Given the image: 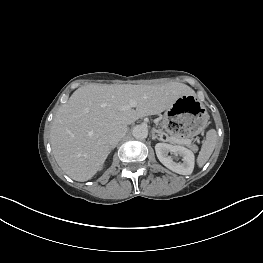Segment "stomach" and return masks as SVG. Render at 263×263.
<instances>
[{
    "mask_svg": "<svg viewBox=\"0 0 263 263\" xmlns=\"http://www.w3.org/2000/svg\"><path fill=\"white\" fill-rule=\"evenodd\" d=\"M208 113L193 95L179 97L162 117V126L180 138H195L208 125Z\"/></svg>",
    "mask_w": 263,
    "mask_h": 263,
    "instance_id": "0dacf381",
    "label": "stomach"
}]
</instances>
